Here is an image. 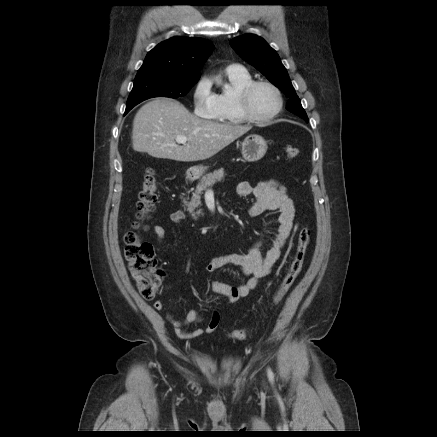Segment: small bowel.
Returning a JSON list of instances; mask_svg holds the SVG:
<instances>
[{
	"label": "small bowel",
	"mask_w": 437,
	"mask_h": 437,
	"mask_svg": "<svg viewBox=\"0 0 437 437\" xmlns=\"http://www.w3.org/2000/svg\"><path fill=\"white\" fill-rule=\"evenodd\" d=\"M236 191L242 198L253 197V202L248 208V213L251 216H258L265 211H275V221L278 227L265 254L259 251V239L246 253L217 256L207 264L206 270L210 273L216 272L228 265H233L239 267L242 273L248 276L247 282L237 286H232L218 280L212 282L213 291L226 297L229 303H235L240 298L247 296L256 287L258 282L272 271L291 234L295 217L293 200L288 195L285 186L278 180L268 179L256 185L240 182L237 185ZM185 219L186 213L182 210H176L170 214V220L173 223L178 224ZM152 233L157 238L159 244H162L165 237L164 228L160 225H155L152 228ZM154 308L162 311V302L156 301ZM167 319L173 325L176 335L181 339L194 338L205 332L211 333L218 328L220 322L219 313L214 311L205 329L196 328L188 331L186 330L187 326L198 323L201 320L199 313L194 309L189 310L186 317L182 320L174 318L171 314H167Z\"/></svg>",
	"instance_id": "1"
}]
</instances>
